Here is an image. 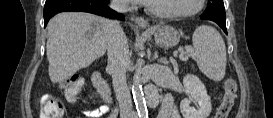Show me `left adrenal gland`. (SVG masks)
<instances>
[{"label": "left adrenal gland", "mask_w": 273, "mask_h": 118, "mask_svg": "<svg viewBox=\"0 0 273 118\" xmlns=\"http://www.w3.org/2000/svg\"><path fill=\"white\" fill-rule=\"evenodd\" d=\"M154 58L157 59L161 63H166L165 59H160V60L158 59V52L157 51L155 52V57Z\"/></svg>", "instance_id": "a2214340"}]
</instances>
